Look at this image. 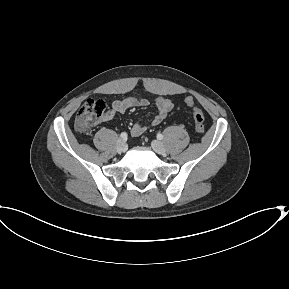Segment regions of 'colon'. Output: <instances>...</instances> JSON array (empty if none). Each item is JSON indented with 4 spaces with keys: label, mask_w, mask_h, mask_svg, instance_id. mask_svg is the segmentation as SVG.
I'll return each instance as SVG.
<instances>
[{
    "label": "colon",
    "mask_w": 289,
    "mask_h": 289,
    "mask_svg": "<svg viewBox=\"0 0 289 289\" xmlns=\"http://www.w3.org/2000/svg\"><path fill=\"white\" fill-rule=\"evenodd\" d=\"M185 103L192 109L195 130L198 133L205 131L204 115L192 97H186ZM106 104L103 100L88 99L75 117V128L78 132L87 134L102 119L105 114Z\"/></svg>",
    "instance_id": "obj_1"
}]
</instances>
